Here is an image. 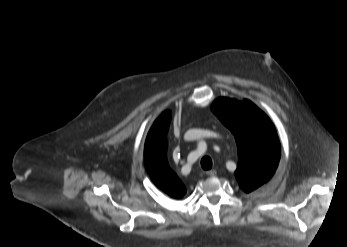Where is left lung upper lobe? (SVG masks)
Wrapping results in <instances>:
<instances>
[{
    "label": "left lung upper lobe",
    "mask_w": 347,
    "mask_h": 247,
    "mask_svg": "<svg viewBox=\"0 0 347 247\" xmlns=\"http://www.w3.org/2000/svg\"><path fill=\"white\" fill-rule=\"evenodd\" d=\"M211 110L234 134L239 186L247 193L253 191L272 177L279 163L280 142L274 125L249 100L218 98Z\"/></svg>",
    "instance_id": "left-lung-upper-lobe-1"
}]
</instances>
